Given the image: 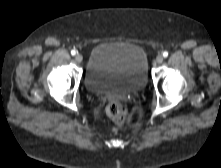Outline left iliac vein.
Listing matches in <instances>:
<instances>
[{
    "mask_svg": "<svg viewBox=\"0 0 221 168\" xmlns=\"http://www.w3.org/2000/svg\"><path fill=\"white\" fill-rule=\"evenodd\" d=\"M163 60H164V57L162 55H158L157 58H156V62L158 64H161L163 62Z\"/></svg>",
    "mask_w": 221,
    "mask_h": 168,
    "instance_id": "1",
    "label": "left iliac vein"
}]
</instances>
